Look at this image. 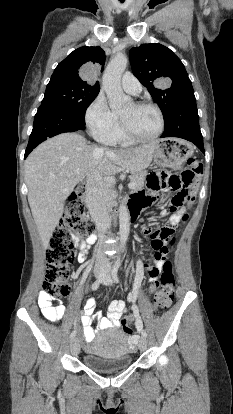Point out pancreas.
Listing matches in <instances>:
<instances>
[{
    "instance_id": "cf45deb5",
    "label": "pancreas",
    "mask_w": 233,
    "mask_h": 414,
    "mask_svg": "<svg viewBox=\"0 0 233 414\" xmlns=\"http://www.w3.org/2000/svg\"><path fill=\"white\" fill-rule=\"evenodd\" d=\"M145 181V172H131L130 182L134 183V190L141 189L144 186ZM111 186H107V201L110 205H113L115 202L111 194Z\"/></svg>"
}]
</instances>
